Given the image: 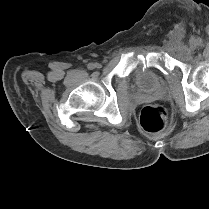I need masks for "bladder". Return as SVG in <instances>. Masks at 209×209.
Returning <instances> with one entry per match:
<instances>
[{"label":"bladder","instance_id":"31cf9c89","mask_svg":"<svg viewBox=\"0 0 209 209\" xmlns=\"http://www.w3.org/2000/svg\"><path fill=\"white\" fill-rule=\"evenodd\" d=\"M137 85L143 93L152 95L159 87V77L149 69L140 71L137 75Z\"/></svg>","mask_w":209,"mask_h":209}]
</instances>
